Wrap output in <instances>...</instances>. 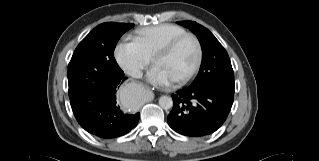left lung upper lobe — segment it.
<instances>
[{
    "label": "left lung upper lobe",
    "mask_w": 319,
    "mask_h": 161,
    "mask_svg": "<svg viewBox=\"0 0 319 161\" xmlns=\"http://www.w3.org/2000/svg\"><path fill=\"white\" fill-rule=\"evenodd\" d=\"M177 23L196 34L202 47L201 67L190 86L215 88L234 94V72L229 56L220 42L208 29L196 22Z\"/></svg>",
    "instance_id": "5c2ea615"
}]
</instances>
